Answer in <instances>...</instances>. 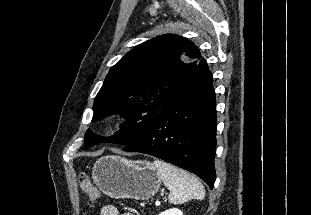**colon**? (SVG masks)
Wrapping results in <instances>:
<instances>
[{"mask_svg": "<svg viewBox=\"0 0 311 215\" xmlns=\"http://www.w3.org/2000/svg\"><path fill=\"white\" fill-rule=\"evenodd\" d=\"M79 184L83 192L94 202L100 197L99 190L91 183L89 176L86 173L79 175Z\"/></svg>", "mask_w": 311, "mask_h": 215, "instance_id": "5ec220e1", "label": "colon"}]
</instances>
